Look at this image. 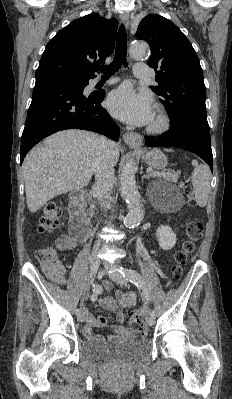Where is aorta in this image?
<instances>
[{
  "mask_svg": "<svg viewBox=\"0 0 232 399\" xmlns=\"http://www.w3.org/2000/svg\"><path fill=\"white\" fill-rule=\"evenodd\" d=\"M148 49L144 42H135L130 47V54L136 59L143 58ZM136 165L133 159H129L124 165L120 177L121 195L127 203L129 213L125 217L124 224L127 228L138 226L143 217L144 211L140 202V193L135 180Z\"/></svg>",
  "mask_w": 232,
  "mask_h": 399,
  "instance_id": "1",
  "label": "aorta"
}]
</instances>
